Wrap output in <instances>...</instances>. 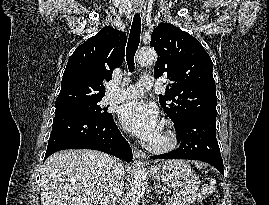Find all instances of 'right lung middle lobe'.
<instances>
[{
  "instance_id": "1",
  "label": "right lung middle lobe",
  "mask_w": 269,
  "mask_h": 205,
  "mask_svg": "<svg viewBox=\"0 0 269 205\" xmlns=\"http://www.w3.org/2000/svg\"><path fill=\"white\" fill-rule=\"evenodd\" d=\"M99 101L100 100L56 107L55 116L66 114H85L100 119L110 117L111 113H108L105 108H101L100 105H98Z\"/></svg>"
}]
</instances>
